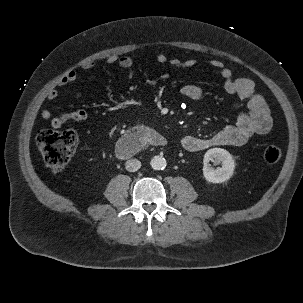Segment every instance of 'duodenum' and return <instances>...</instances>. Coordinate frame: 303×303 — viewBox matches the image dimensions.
Segmentation results:
<instances>
[{
    "label": "duodenum",
    "instance_id": "1",
    "mask_svg": "<svg viewBox=\"0 0 303 303\" xmlns=\"http://www.w3.org/2000/svg\"><path fill=\"white\" fill-rule=\"evenodd\" d=\"M167 139L148 127H137L127 132L116 145V153L121 158H130L145 146L165 147Z\"/></svg>",
    "mask_w": 303,
    "mask_h": 303
}]
</instances>
